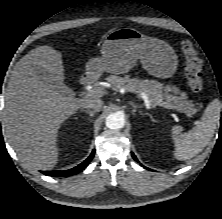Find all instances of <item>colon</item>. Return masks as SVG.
I'll use <instances>...</instances> for the list:
<instances>
[{"label": "colon", "mask_w": 222, "mask_h": 219, "mask_svg": "<svg viewBox=\"0 0 222 219\" xmlns=\"http://www.w3.org/2000/svg\"><path fill=\"white\" fill-rule=\"evenodd\" d=\"M181 47L185 57V76L188 86L193 92L199 93L204 87L201 60L190 41H184Z\"/></svg>", "instance_id": "1"}]
</instances>
